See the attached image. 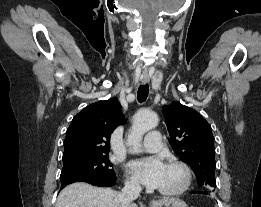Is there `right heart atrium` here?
<instances>
[{"label":"right heart atrium","instance_id":"right-heart-atrium-1","mask_svg":"<svg viewBox=\"0 0 261 207\" xmlns=\"http://www.w3.org/2000/svg\"><path fill=\"white\" fill-rule=\"evenodd\" d=\"M125 185L129 189H138L139 188L138 182L132 177L126 178Z\"/></svg>","mask_w":261,"mask_h":207}]
</instances>
